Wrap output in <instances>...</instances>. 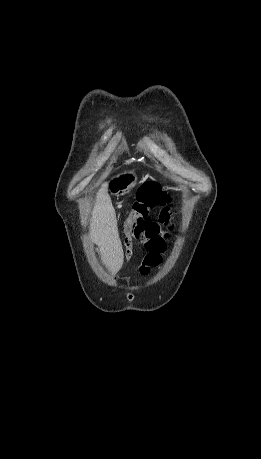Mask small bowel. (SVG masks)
I'll return each instance as SVG.
<instances>
[{
  "instance_id": "1",
  "label": "small bowel",
  "mask_w": 261,
  "mask_h": 459,
  "mask_svg": "<svg viewBox=\"0 0 261 459\" xmlns=\"http://www.w3.org/2000/svg\"><path fill=\"white\" fill-rule=\"evenodd\" d=\"M166 218L169 219V216ZM168 237L169 234H161L159 238H138L137 234L135 235L134 241L143 244L144 248L147 250V254L139 267V272L142 276H148L152 268L161 263L162 254L166 250V241Z\"/></svg>"
}]
</instances>
